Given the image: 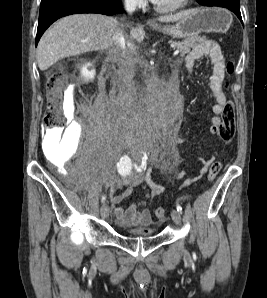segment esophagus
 <instances>
[{
    "label": "esophagus",
    "mask_w": 267,
    "mask_h": 298,
    "mask_svg": "<svg viewBox=\"0 0 267 298\" xmlns=\"http://www.w3.org/2000/svg\"><path fill=\"white\" fill-rule=\"evenodd\" d=\"M148 24L152 25V24H154V22L151 21V20H149V21H148Z\"/></svg>",
    "instance_id": "34e87169"
}]
</instances>
